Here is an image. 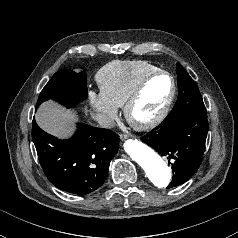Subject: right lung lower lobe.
<instances>
[{"mask_svg": "<svg viewBox=\"0 0 238 238\" xmlns=\"http://www.w3.org/2000/svg\"><path fill=\"white\" fill-rule=\"evenodd\" d=\"M75 135L60 140L33 120L32 139L49 181L68 193L83 195L97 190L108 175L110 160L118 152L119 136L108 129L78 123Z\"/></svg>", "mask_w": 238, "mask_h": 238, "instance_id": "right-lung-lower-lobe-1", "label": "right lung lower lobe"}]
</instances>
